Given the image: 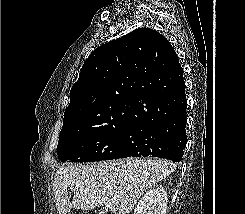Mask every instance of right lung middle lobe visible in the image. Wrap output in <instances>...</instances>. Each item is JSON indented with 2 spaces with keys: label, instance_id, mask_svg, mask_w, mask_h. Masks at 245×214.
<instances>
[{
  "label": "right lung middle lobe",
  "instance_id": "right-lung-middle-lobe-1",
  "mask_svg": "<svg viewBox=\"0 0 245 214\" xmlns=\"http://www.w3.org/2000/svg\"><path fill=\"white\" fill-rule=\"evenodd\" d=\"M132 119H120L97 126H85L63 119L57 155L62 162H95L116 159Z\"/></svg>",
  "mask_w": 245,
  "mask_h": 214
}]
</instances>
